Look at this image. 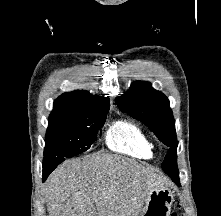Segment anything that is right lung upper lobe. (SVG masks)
<instances>
[{
    "mask_svg": "<svg viewBox=\"0 0 221 216\" xmlns=\"http://www.w3.org/2000/svg\"><path fill=\"white\" fill-rule=\"evenodd\" d=\"M109 106L108 97L93 96L84 90L67 92L55 100L49 125L65 124L83 116L106 113Z\"/></svg>",
    "mask_w": 221,
    "mask_h": 216,
    "instance_id": "cb5924a9",
    "label": "right lung upper lobe"
}]
</instances>
